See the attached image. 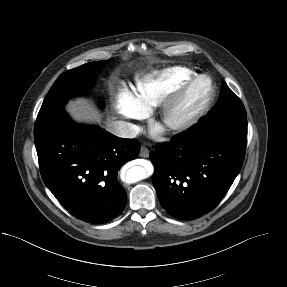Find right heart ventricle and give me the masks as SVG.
Returning <instances> with one entry per match:
<instances>
[{"label": "right heart ventricle", "mask_w": 287, "mask_h": 287, "mask_svg": "<svg viewBox=\"0 0 287 287\" xmlns=\"http://www.w3.org/2000/svg\"><path fill=\"white\" fill-rule=\"evenodd\" d=\"M195 74L186 66H171L138 76L133 95L140 108L147 114L158 107L185 80Z\"/></svg>", "instance_id": "1"}]
</instances>
